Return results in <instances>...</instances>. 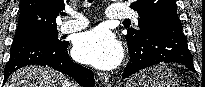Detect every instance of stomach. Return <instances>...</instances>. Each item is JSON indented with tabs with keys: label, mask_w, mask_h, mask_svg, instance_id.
Segmentation results:
<instances>
[{
	"label": "stomach",
	"mask_w": 205,
	"mask_h": 87,
	"mask_svg": "<svg viewBox=\"0 0 205 87\" xmlns=\"http://www.w3.org/2000/svg\"><path fill=\"white\" fill-rule=\"evenodd\" d=\"M125 87H179V79L170 68L159 64L133 75Z\"/></svg>",
	"instance_id": "obj_1"
}]
</instances>
